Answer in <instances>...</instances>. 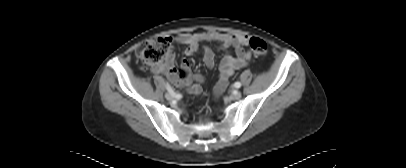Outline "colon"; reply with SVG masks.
I'll return each mask as SVG.
<instances>
[{"instance_id":"colon-1","label":"colon","mask_w":406,"mask_h":168,"mask_svg":"<svg viewBox=\"0 0 406 168\" xmlns=\"http://www.w3.org/2000/svg\"><path fill=\"white\" fill-rule=\"evenodd\" d=\"M249 46L256 56H265L268 51L267 43L259 37H251ZM171 52V38L154 37L142 43L137 50V57L146 64H160Z\"/></svg>"}]
</instances>
